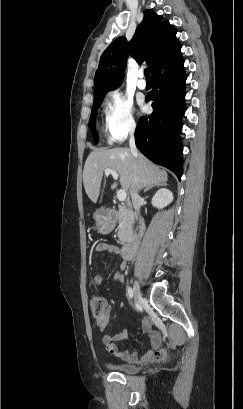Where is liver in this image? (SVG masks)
Wrapping results in <instances>:
<instances>
[{"label":"liver","mask_w":243,"mask_h":409,"mask_svg":"<svg viewBox=\"0 0 243 409\" xmlns=\"http://www.w3.org/2000/svg\"><path fill=\"white\" fill-rule=\"evenodd\" d=\"M115 170L120 177L123 190L132 195L152 184L162 185L168 179L165 170L153 164L144 155L133 156L128 148L96 149L86 159L83 170L85 192L92 202L96 203L100 194L103 171ZM116 184L111 185L114 188Z\"/></svg>","instance_id":"6515ba94"}]
</instances>
